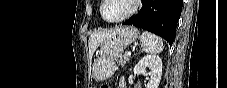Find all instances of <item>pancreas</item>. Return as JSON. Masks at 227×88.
Segmentation results:
<instances>
[{
	"mask_svg": "<svg viewBox=\"0 0 227 88\" xmlns=\"http://www.w3.org/2000/svg\"><path fill=\"white\" fill-rule=\"evenodd\" d=\"M129 60V56H127V54L125 53L124 55H122L118 61L119 65L124 66L127 61Z\"/></svg>",
	"mask_w": 227,
	"mask_h": 88,
	"instance_id": "obj_1",
	"label": "pancreas"
}]
</instances>
